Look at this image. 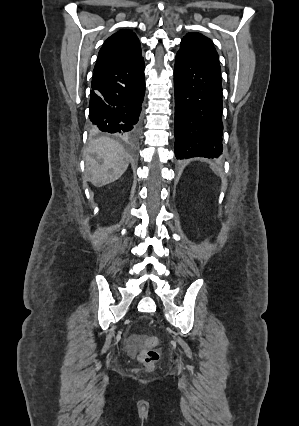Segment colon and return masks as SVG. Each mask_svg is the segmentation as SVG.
<instances>
[{
    "instance_id": "colon-1",
    "label": "colon",
    "mask_w": 299,
    "mask_h": 426,
    "mask_svg": "<svg viewBox=\"0 0 299 426\" xmlns=\"http://www.w3.org/2000/svg\"><path fill=\"white\" fill-rule=\"evenodd\" d=\"M139 339L144 342V349L139 354L140 361L149 369L153 368L160 358L158 350L159 339L154 336L139 335Z\"/></svg>"
}]
</instances>
